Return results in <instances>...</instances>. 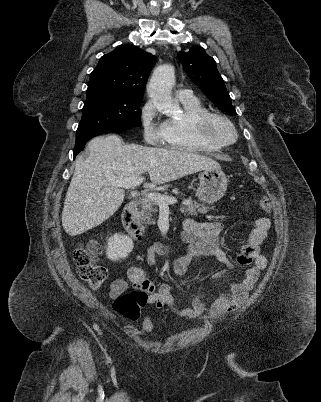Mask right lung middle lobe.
Segmentation results:
<instances>
[{
  "label": "right lung middle lobe",
  "instance_id": "obj_1",
  "mask_svg": "<svg viewBox=\"0 0 321 402\" xmlns=\"http://www.w3.org/2000/svg\"><path fill=\"white\" fill-rule=\"evenodd\" d=\"M142 98L123 96L108 91H87L82 119L77 133L111 127L132 128L141 125Z\"/></svg>",
  "mask_w": 321,
  "mask_h": 402
}]
</instances>
